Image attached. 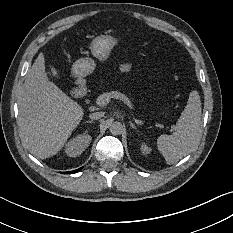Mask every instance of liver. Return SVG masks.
<instances>
[{
    "instance_id": "6515ba94",
    "label": "liver",
    "mask_w": 233,
    "mask_h": 233,
    "mask_svg": "<svg viewBox=\"0 0 233 233\" xmlns=\"http://www.w3.org/2000/svg\"><path fill=\"white\" fill-rule=\"evenodd\" d=\"M82 117L81 106L49 81L44 57L39 54L19 98L18 123L27 148L40 158L50 156Z\"/></svg>"
}]
</instances>
